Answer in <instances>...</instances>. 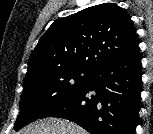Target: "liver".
Wrapping results in <instances>:
<instances>
[{"instance_id": "6515ba94", "label": "liver", "mask_w": 153, "mask_h": 134, "mask_svg": "<svg viewBox=\"0 0 153 134\" xmlns=\"http://www.w3.org/2000/svg\"><path fill=\"white\" fill-rule=\"evenodd\" d=\"M19 134H87L80 126L60 118H47L29 125Z\"/></svg>"}]
</instances>
